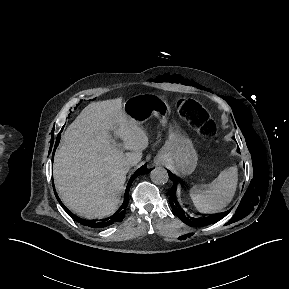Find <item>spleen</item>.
Here are the masks:
<instances>
[{
	"label": "spleen",
	"mask_w": 289,
	"mask_h": 289,
	"mask_svg": "<svg viewBox=\"0 0 289 289\" xmlns=\"http://www.w3.org/2000/svg\"><path fill=\"white\" fill-rule=\"evenodd\" d=\"M238 183V170L231 166L223 170L206 189L194 186L190 197L197 210L206 213L222 212L232 201Z\"/></svg>",
	"instance_id": "3e777b00"
}]
</instances>
